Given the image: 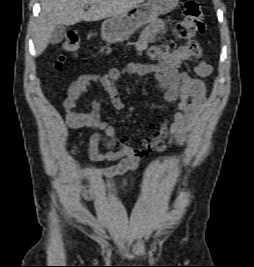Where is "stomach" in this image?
Listing matches in <instances>:
<instances>
[{"mask_svg": "<svg viewBox=\"0 0 254 267\" xmlns=\"http://www.w3.org/2000/svg\"><path fill=\"white\" fill-rule=\"evenodd\" d=\"M178 3L179 0H148L123 14L106 19L101 25V37L109 43L125 41L138 28L174 10Z\"/></svg>", "mask_w": 254, "mask_h": 267, "instance_id": "stomach-1", "label": "stomach"}]
</instances>
